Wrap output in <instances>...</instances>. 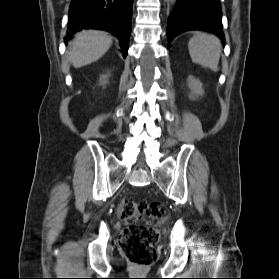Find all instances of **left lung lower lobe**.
<instances>
[{
	"instance_id": "left-lung-lower-lobe-1",
	"label": "left lung lower lobe",
	"mask_w": 279,
	"mask_h": 279,
	"mask_svg": "<svg viewBox=\"0 0 279 279\" xmlns=\"http://www.w3.org/2000/svg\"><path fill=\"white\" fill-rule=\"evenodd\" d=\"M187 30H203L217 35L224 44L220 0H177L168 18L167 38Z\"/></svg>"
}]
</instances>
